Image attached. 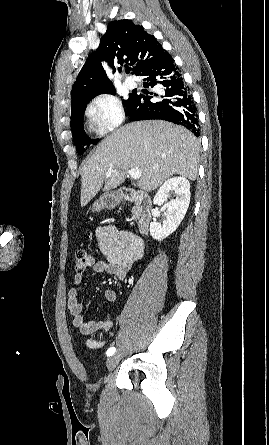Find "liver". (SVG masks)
I'll use <instances>...</instances> for the list:
<instances>
[{
	"instance_id": "6515ba94",
	"label": "liver",
	"mask_w": 269,
	"mask_h": 445,
	"mask_svg": "<svg viewBox=\"0 0 269 445\" xmlns=\"http://www.w3.org/2000/svg\"><path fill=\"white\" fill-rule=\"evenodd\" d=\"M199 142L187 129L165 121L127 124L102 140L81 170V206L103 188L120 186L126 170L140 169V189L152 191L178 174L195 180L198 174ZM115 172L108 177V170ZM104 185V187H103Z\"/></svg>"
}]
</instances>
